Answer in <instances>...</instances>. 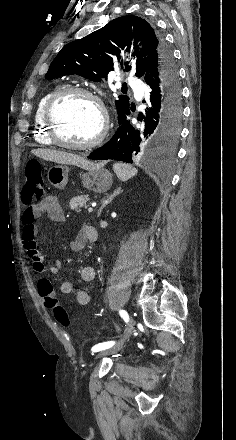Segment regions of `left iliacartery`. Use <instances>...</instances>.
Instances as JSON below:
<instances>
[{"instance_id":"obj_1","label":"left iliac artery","mask_w":236,"mask_h":440,"mask_svg":"<svg viewBox=\"0 0 236 440\" xmlns=\"http://www.w3.org/2000/svg\"><path fill=\"white\" fill-rule=\"evenodd\" d=\"M119 314H120V316L123 318V320L125 322H128L129 316H128V313L125 310H120ZM114 344H115V341L103 342V343H100V344H97V345L93 346L91 350H92V352H98V351H101V350H105V349L111 348Z\"/></svg>"}]
</instances>
